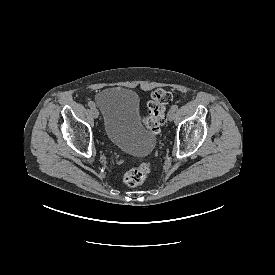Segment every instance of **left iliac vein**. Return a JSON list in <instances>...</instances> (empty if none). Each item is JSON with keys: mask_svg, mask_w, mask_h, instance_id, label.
<instances>
[{"mask_svg": "<svg viewBox=\"0 0 275 275\" xmlns=\"http://www.w3.org/2000/svg\"><path fill=\"white\" fill-rule=\"evenodd\" d=\"M174 118H175V111L170 110L169 113H168V119L170 121H172V120H174Z\"/></svg>", "mask_w": 275, "mask_h": 275, "instance_id": "obj_1", "label": "left iliac vein"}]
</instances>
